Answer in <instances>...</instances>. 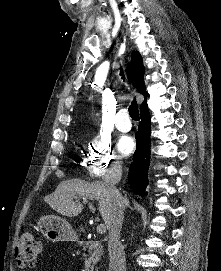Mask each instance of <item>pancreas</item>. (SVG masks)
<instances>
[{
	"instance_id": "1",
	"label": "pancreas",
	"mask_w": 221,
	"mask_h": 271,
	"mask_svg": "<svg viewBox=\"0 0 221 271\" xmlns=\"http://www.w3.org/2000/svg\"><path fill=\"white\" fill-rule=\"evenodd\" d=\"M79 245H84V249H88L89 257L84 261V269L86 271H93L95 263L100 259L103 253V247L101 241H88V240H79Z\"/></svg>"
}]
</instances>
